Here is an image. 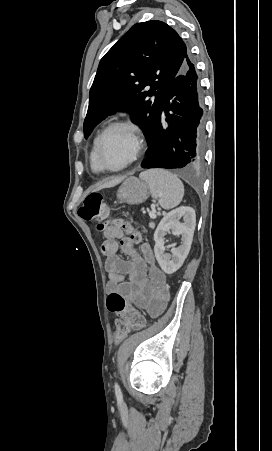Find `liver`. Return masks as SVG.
Returning <instances> with one entry per match:
<instances>
[{
  "label": "liver",
  "instance_id": "liver-1",
  "mask_svg": "<svg viewBox=\"0 0 272 451\" xmlns=\"http://www.w3.org/2000/svg\"><path fill=\"white\" fill-rule=\"evenodd\" d=\"M125 176H120V178H113L111 182H106V184H103L101 188H112V186H116V184H119V182H122L124 180Z\"/></svg>",
  "mask_w": 272,
  "mask_h": 451
}]
</instances>
